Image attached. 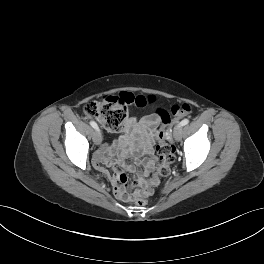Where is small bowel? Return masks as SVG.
<instances>
[{
  "instance_id": "c3829d8e",
  "label": "small bowel",
  "mask_w": 264,
  "mask_h": 264,
  "mask_svg": "<svg viewBox=\"0 0 264 264\" xmlns=\"http://www.w3.org/2000/svg\"><path fill=\"white\" fill-rule=\"evenodd\" d=\"M157 124L158 119L155 115L144 117L141 120L128 117L125 121L124 131L118 140L104 145L96 152L95 166L99 171H104V165L110 167L113 174V192L119 198L128 192L125 171L137 173L138 182H142L143 176L153 169L156 162L154 135ZM132 141L136 143L132 145ZM116 149H118V157L114 159ZM143 155L147 157L142 159ZM128 156H132L136 165L142 164L144 169L139 171L135 166L127 164L124 159Z\"/></svg>"
}]
</instances>
